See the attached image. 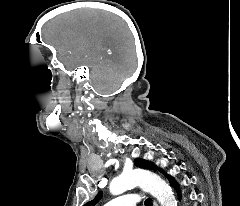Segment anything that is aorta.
<instances>
[{"label": "aorta", "instance_id": "1", "mask_svg": "<svg viewBox=\"0 0 240 206\" xmlns=\"http://www.w3.org/2000/svg\"><path fill=\"white\" fill-rule=\"evenodd\" d=\"M135 186H140L151 193L161 206H177L175 196L167 183L158 175L146 170L122 173L111 181L109 190L113 195H119Z\"/></svg>", "mask_w": 240, "mask_h": 206}]
</instances>
